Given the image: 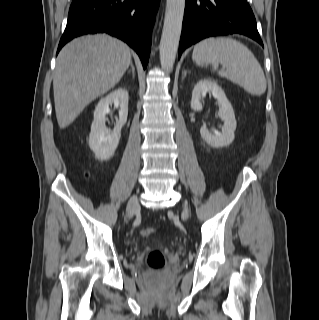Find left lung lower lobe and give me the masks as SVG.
Returning <instances> with one entry per match:
<instances>
[{
  "label": "left lung lower lobe",
  "instance_id": "0a47b994",
  "mask_svg": "<svg viewBox=\"0 0 319 320\" xmlns=\"http://www.w3.org/2000/svg\"><path fill=\"white\" fill-rule=\"evenodd\" d=\"M233 33L248 36L263 46L246 0H186L179 57L201 39Z\"/></svg>",
  "mask_w": 319,
  "mask_h": 320
}]
</instances>
